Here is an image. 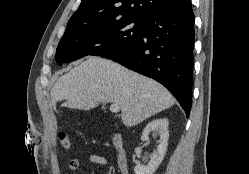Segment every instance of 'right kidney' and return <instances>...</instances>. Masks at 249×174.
<instances>
[{"instance_id":"ca27d5eb","label":"right kidney","mask_w":249,"mask_h":174,"mask_svg":"<svg viewBox=\"0 0 249 174\" xmlns=\"http://www.w3.org/2000/svg\"><path fill=\"white\" fill-rule=\"evenodd\" d=\"M169 122L167 119H156L147 124L143 130L141 141L145 142L148 140V136L151 132L158 133L160 139L158 140V146L156 151L153 152L151 160L147 166L136 165L134 167L135 174H154L161 162L164 159L165 153L168 146V131Z\"/></svg>"}]
</instances>
